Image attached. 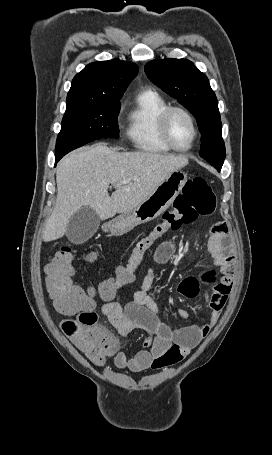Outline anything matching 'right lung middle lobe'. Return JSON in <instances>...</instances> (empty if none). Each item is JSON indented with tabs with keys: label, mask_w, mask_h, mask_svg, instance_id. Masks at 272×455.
I'll return each instance as SVG.
<instances>
[{
	"label": "right lung middle lobe",
	"mask_w": 272,
	"mask_h": 455,
	"mask_svg": "<svg viewBox=\"0 0 272 455\" xmlns=\"http://www.w3.org/2000/svg\"><path fill=\"white\" fill-rule=\"evenodd\" d=\"M120 103L107 105H67L56 142V155L101 138H118Z\"/></svg>",
	"instance_id": "obj_1"
}]
</instances>
